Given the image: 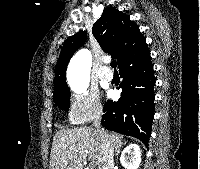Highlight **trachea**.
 Masks as SVG:
<instances>
[{"mask_svg":"<svg viewBox=\"0 0 200 169\" xmlns=\"http://www.w3.org/2000/svg\"><path fill=\"white\" fill-rule=\"evenodd\" d=\"M110 66H111L112 68L116 69V67H117L116 61L113 60V61L110 63Z\"/></svg>","mask_w":200,"mask_h":169,"instance_id":"1","label":"trachea"}]
</instances>
